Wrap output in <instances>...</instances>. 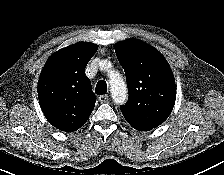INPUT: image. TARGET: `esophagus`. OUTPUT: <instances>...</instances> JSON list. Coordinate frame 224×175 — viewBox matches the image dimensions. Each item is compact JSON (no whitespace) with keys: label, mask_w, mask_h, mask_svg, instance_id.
<instances>
[{"label":"esophagus","mask_w":224,"mask_h":175,"mask_svg":"<svg viewBox=\"0 0 224 175\" xmlns=\"http://www.w3.org/2000/svg\"><path fill=\"white\" fill-rule=\"evenodd\" d=\"M99 101L101 103H107L109 101V96L108 95H100L99 96Z\"/></svg>","instance_id":"esophagus-1"}]
</instances>
